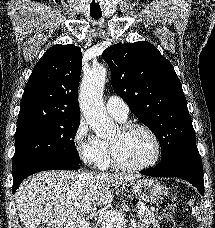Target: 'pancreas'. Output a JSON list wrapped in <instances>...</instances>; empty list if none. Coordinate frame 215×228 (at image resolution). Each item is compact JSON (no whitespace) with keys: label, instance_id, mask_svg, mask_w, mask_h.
Returning <instances> with one entry per match:
<instances>
[{"label":"pancreas","instance_id":"pancreas-1","mask_svg":"<svg viewBox=\"0 0 215 228\" xmlns=\"http://www.w3.org/2000/svg\"><path fill=\"white\" fill-rule=\"evenodd\" d=\"M137 218H139L141 222L138 228H148L150 224H155L154 212H152V210H148V208H145V210H140V212H138ZM110 228H113V226H110Z\"/></svg>","mask_w":215,"mask_h":228}]
</instances>
